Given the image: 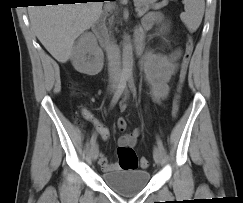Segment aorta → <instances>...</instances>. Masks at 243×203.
I'll return each instance as SVG.
<instances>
[{"instance_id": "aorta-1", "label": "aorta", "mask_w": 243, "mask_h": 203, "mask_svg": "<svg viewBox=\"0 0 243 203\" xmlns=\"http://www.w3.org/2000/svg\"><path fill=\"white\" fill-rule=\"evenodd\" d=\"M122 67L124 74H131L133 68L132 45L127 40L123 45Z\"/></svg>"}]
</instances>
